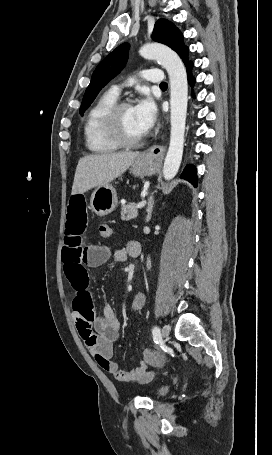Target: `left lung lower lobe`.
Wrapping results in <instances>:
<instances>
[{
  "instance_id": "1",
  "label": "left lung lower lobe",
  "mask_w": 272,
  "mask_h": 455,
  "mask_svg": "<svg viewBox=\"0 0 272 455\" xmlns=\"http://www.w3.org/2000/svg\"><path fill=\"white\" fill-rule=\"evenodd\" d=\"M183 62L187 66L188 80L191 86H193L195 79L191 76V68L193 67L192 62H189L188 59H183ZM181 178H184L190 181L195 187L197 186L196 171L194 167H186L184 172L181 175Z\"/></svg>"
}]
</instances>
